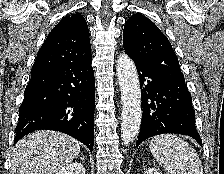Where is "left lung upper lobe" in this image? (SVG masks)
I'll use <instances>...</instances> for the list:
<instances>
[{"label": "left lung upper lobe", "instance_id": "obj_1", "mask_svg": "<svg viewBox=\"0 0 224 174\" xmlns=\"http://www.w3.org/2000/svg\"><path fill=\"white\" fill-rule=\"evenodd\" d=\"M125 52L133 59L151 64H166L180 69L178 58L161 30L142 14L132 15L123 31Z\"/></svg>", "mask_w": 224, "mask_h": 174}]
</instances>
